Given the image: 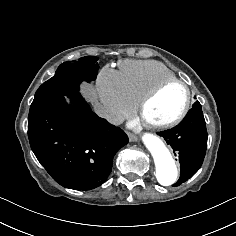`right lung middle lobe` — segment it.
Returning <instances> with one entry per match:
<instances>
[{"label":"right lung middle lobe","mask_w":236,"mask_h":236,"mask_svg":"<svg viewBox=\"0 0 236 236\" xmlns=\"http://www.w3.org/2000/svg\"><path fill=\"white\" fill-rule=\"evenodd\" d=\"M97 60L98 57L85 56L62 63L55 75L38 88L30 107L55 97L79 92L82 81L91 82L96 79L99 69Z\"/></svg>","instance_id":"right-lung-middle-lobe-1"}]
</instances>
